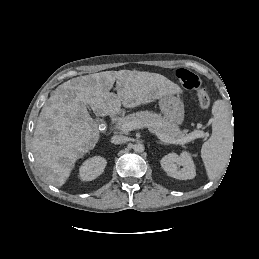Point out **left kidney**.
<instances>
[{
    "label": "left kidney",
    "mask_w": 259,
    "mask_h": 259,
    "mask_svg": "<svg viewBox=\"0 0 259 259\" xmlns=\"http://www.w3.org/2000/svg\"><path fill=\"white\" fill-rule=\"evenodd\" d=\"M160 164L163 170L175 179L188 180L193 179L196 175L192 156L186 151L180 155L169 153L161 159Z\"/></svg>",
    "instance_id": "1"
}]
</instances>
